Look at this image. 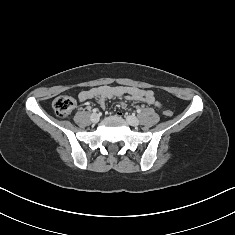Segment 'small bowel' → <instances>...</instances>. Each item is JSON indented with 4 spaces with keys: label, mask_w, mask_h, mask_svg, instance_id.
Instances as JSON below:
<instances>
[{
    "label": "small bowel",
    "mask_w": 235,
    "mask_h": 235,
    "mask_svg": "<svg viewBox=\"0 0 235 235\" xmlns=\"http://www.w3.org/2000/svg\"><path fill=\"white\" fill-rule=\"evenodd\" d=\"M116 97H123L127 100L135 102H142L157 108L161 107L160 102L156 100L152 91L138 87L103 85L88 90H83L78 95L79 101L84 102L94 99L102 107L107 99Z\"/></svg>",
    "instance_id": "c3829d8e"
}]
</instances>
